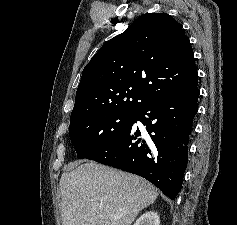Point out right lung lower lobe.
Wrapping results in <instances>:
<instances>
[{
  "instance_id": "1",
  "label": "right lung lower lobe",
  "mask_w": 237,
  "mask_h": 225,
  "mask_svg": "<svg viewBox=\"0 0 237 225\" xmlns=\"http://www.w3.org/2000/svg\"><path fill=\"white\" fill-rule=\"evenodd\" d=\"M199 94L197 85L157 94L140 107L125 131L85 158L142 176L170 199L176 198L188 162ZM137 121L146 132L133 127Z\"/></svg>"
}]
</instances>
